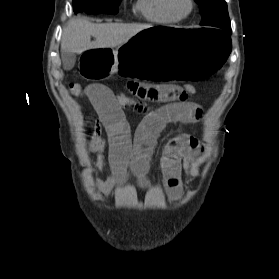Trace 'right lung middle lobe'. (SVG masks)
I'll return each mask as SVG.
<instances>
[{"label": "right lung middle lobe", "instance_id": "obj_1", "mask_svg": "<svg viewBox=\"0 0 279 279\" xmlns=\"http://www.w3.org/2000/svg\"><path fill=\"white\" fill-rule=\"evenodd\" d=\"M121 0H73L75 13L85 11L87 13L116 14Z\"/></svg>", "mask_w": 279, "mask_h": 279}]
</instances>
